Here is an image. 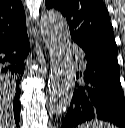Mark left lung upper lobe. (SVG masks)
<instances>
[{"label": "left lung upper lobe", "instance_id": "obj_1", "mask_svg": "<svg viewBox=\"0 0 125 128\" xmlns=\"http://www.w3.org/2000/svg\"><path fill=\"white\" fill-rule=\"evenodd\" d=\"M66 17L71 38L91 55H115L117 45L108 11L102 0H46Z\"/></svg>", "mask_w": 125, "mask_h": 128}]
</instances>
